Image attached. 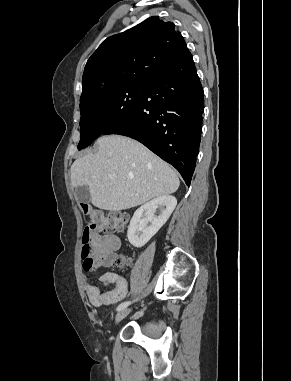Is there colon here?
I'll use <instances>...</instances> for the list:
<instances>
[{
    "label": "colon",
    "mask_w": 291,
    "mask_h": 381,
    "mask_svg": "<svg viewBox=\"0 0 291 381\" xmlns=\"http://www.w3.org/2000/svg\"><path fill=\"white\" fill-rule=\"evenodd\" d=\"M81 209L90 221L81 237V258L84 269L91 272L96 269L98 264L103 266L125 265L127 260L113 252L104 251L98 256V248L92 243V238L101 231L112 233L123 230L128 223V215L119 211L104 212L87 203H82Z\"/></svg>",
    "instance_id": "5ec220e1"
}]
</instances>
